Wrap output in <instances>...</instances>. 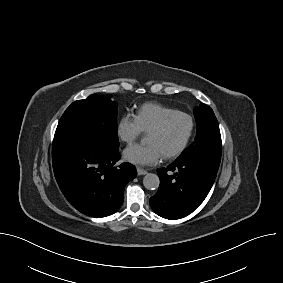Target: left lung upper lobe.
Returning <instances> with one entry per match:
<instances>
[{
    "label": "left lung upper lobe",
    "mask_w": 283,
    "mask_h": 283,
    "mask_svg": "<svg viewBox=\"0 0 283 283\" xmlns=\"http://www.w3.org/2000/svg\"><path fill=\"white\" fill-rule=\"evenodd\" d=\"M194 116L197 123L195 141L183 151L179 158L203 155L220 163L221 135L213 110L205 104H200L194 108Z\"/></svg>",
    "instance_id": "obj_1"
}]
</instances>
